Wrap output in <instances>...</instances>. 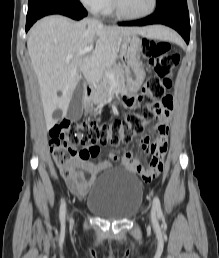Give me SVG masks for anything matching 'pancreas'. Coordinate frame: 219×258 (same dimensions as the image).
<instances>
[{
	"label": "pancreas",
	"instance_id": "cf45deb5",
	"mask_svg": "<svg viewBox=\"0 0 219 258\" xmlns=\"http://www.w3.org/2000/svg\"><path fill=\"white\" fill-rule=\"evenodd\" d=\"M108 71L113 74V78L118 84L119 90H121L125 86L124 72L122 68L118 65H114L110 68H107L106 72ZM110 87L111 79L110 77L106 76L105 73V75L102 76V78L97 82L93 96V102L98 105L105 103Z\"/></svg>",
	"mask_w": 219,
	"mask_h": 258
}]
</instances>
